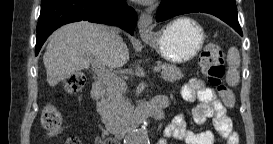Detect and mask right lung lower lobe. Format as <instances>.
I'll use <instances>...</instances> for the list:
<instances>
[{
    "label": "right lung lower lobe",
    "mask_w": 273,
    "mask_h": 144,
    "mask_svg": "<svg viewBox=\"0 0 273 144\" xmlns=\"http://www.w3.org/2000/svg\"><path fill=\"white\" fill-rule=\"evenodd\" d=\"M81 20L118 25L133 35L137 14L126 5L125 0H42L35 55L54 30Z\"/></svg>",
    "instance_id": "98d812e1"
}]
</instances>
